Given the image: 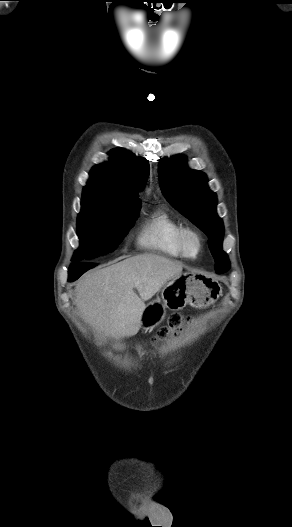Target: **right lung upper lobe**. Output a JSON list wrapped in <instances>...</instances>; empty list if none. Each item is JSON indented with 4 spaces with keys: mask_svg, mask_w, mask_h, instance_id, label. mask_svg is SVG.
<instances>
[{
    "mask_svg": "<svg viewBox=\"0 0 292 527\" xmlns=\"http://www.w3.org/2000/svg\"><path fill=\"white\" fill-rule=\"evenodd\" d=\"M109 154L108 162L91 170L83 194L113 203L141 202L138 193L147 180L149 164L124 149H114Z\"/></svg>",
    "mask_w": 292,
    "mask_h": 527,
    "instance_id": "obj_1",
    "label": "right lung upper lobe"
}]
</instances>
